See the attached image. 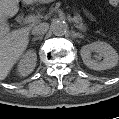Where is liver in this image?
Returning <instances> with one entry per match:
<instances>
[{
	"label": "liver",
	"mask_w": 119,
	"mask_h": 119,
	"mask_svg": "<svg viewBox=\"0 0 119 119\" xmlns=\"http://www.w3.org/2000/svg\"><path fill=\"white\" fill-rule=\"evenodd\" d=\"M32 4L37 0H22ZM19 10V0H0V80H4L15 63L22 56L29 43L31 27L10 32L6 18H11Z\"/></svg>",
	"instance_id": "6515ba94"
}]
</instances>
